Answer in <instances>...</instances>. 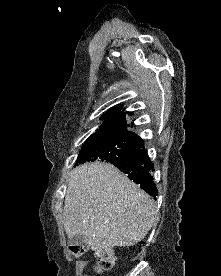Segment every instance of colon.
<instances>
[{
  "instance_id": "1",
  "label": "colon",
  "mask_w": 221,
  "mask_h": 276,
  "mask_svg": "<svg viewBox=\"0 0 221 276\" xmlns=\"http://www.w3.org/2000/svg\"><path fill=\"white\" fill-rule=\"evenodd\" d=\"M98 259L96 271L98 273L112 268L116 263V257L111 248L107 246H92L90 247ZM89 250L86 245L69 246V251L74 257H80Z\"/></svg>"
}]
</instances>
